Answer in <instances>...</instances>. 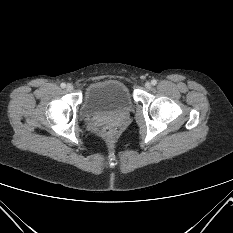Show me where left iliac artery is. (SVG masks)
I'll return each mask as SVG.
<instances>
[{"label":"left iliac artery","mask_w":233,"mask_h":233,"mask_svg":"<svg viewBox=\"0 0 233 233\" xmlns=\"http://www.w3.org/2000/svg\"><path fill=\"white\" fill-rule=\"evenodd\" d=\"M151 84H152V85H156V84H157V81H156L155 79H153V80L151 81Z\"/></svg>","instance_id":"obj_1"}]
</instances>
